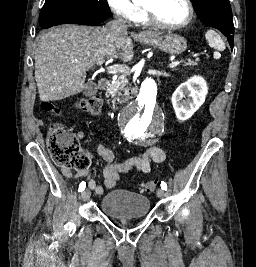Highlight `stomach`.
Returning a JSON list of instances; mask_svg holds the SVG:
<instances>
[{
    "instance_id": "0dacf381",
    "label": "stomach",
    "mask_w": 256,
    "mask_h": 267,
    "mask_svg": "<svg viewBox=\"0 0 256 267\" xmlns=\"http://www.w3.org/2000/svg\"><path fill=\"white\" fill-rule=\"evenodd\" d=\"M157 36H151L148 38L147 42L150 46H154V48H159L162 52H166V54H182L187 50V42L185 38H181V36H177V34H165V32H156Z\"/></svg>"
}]
</instances>
